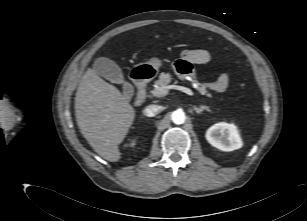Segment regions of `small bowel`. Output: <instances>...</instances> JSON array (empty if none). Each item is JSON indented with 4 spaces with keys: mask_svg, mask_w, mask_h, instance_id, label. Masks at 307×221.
Wrapping results in <instances>:
<instances>
[{
    "mask_svg": "<svg viewBox=\"0 0 307 221\" xmlns=\"http://www.w3.org/2000/svg\"><path fill=\"white\" fill-rule=\"evenodd\" d=\"M211 62V54L205 49L186 50L182 53V59L175 64V69L180 74L191 71L192 64L207 65ZM229 77L221 73L215 82L209 83L207 87L215 92H224L228 86Z\"/></svg>",
    "mask_w": 307,
    "mask_h": 221,
    "instance_id": "c3829d8e",
    "label": "small bowel"
}]
</instances>
